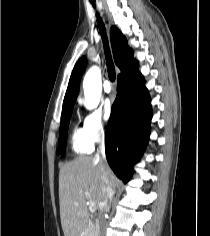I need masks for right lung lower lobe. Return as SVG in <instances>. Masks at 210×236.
I'll use <instances>...</instances> for the list:
<instances>
[{"mask_svg": "<svg viewBox=\"0 0 210 236\" xmlns=\"http://www.w3.org/2000/svg\"><path fill=\"white\" fill-rule=\"evenodd\" d=\"M117 80V96L106 128L105 149L111 169L126 183L147 144L152 109L138 66L119 75Z\"/></svg>", "mask_w": 210, "mask_h": 236, "instance_id": "1", "label": "right lung lower lobe"}]
</instances>
